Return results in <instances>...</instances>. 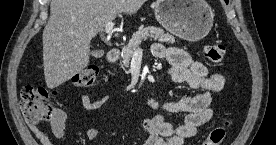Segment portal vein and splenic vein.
<instances>
[{
  "label": "portal vein and splenic vein",
  "mask_w": 276,
  "mask_h": 145,
  "mask_svg": "<svg viewBox=\"0 0 276 145\" xmlns=\"http://www.w3.org/2000/svg\"><path fill=\"white\" fill-rule=\"evenodd\" d=\"M114 23L112 21L108 22L105 26V32L107 34H110L113 31ZM140 49H137L136 51H139Z\"/></svg>",
  "instance_id": "18ae733b"
}]
</instances>
